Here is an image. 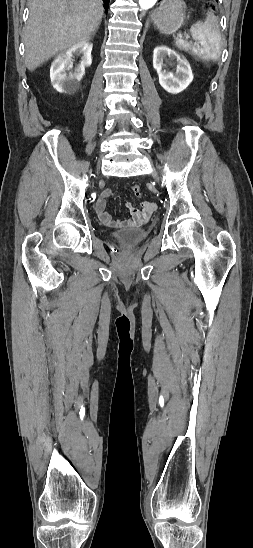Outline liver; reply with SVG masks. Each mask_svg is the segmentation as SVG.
Returning <instances> with one entry per match:
<instances>
[{"instance_id":"1","label":"liver","mask_w":253,"mask_h":548,"mask_svg":"<svg viewBox=\"0 0 253 548\" xmlns=\"http://www.w3.org/2000/svg\"><path fill=\"white\" fill-rule=\"evenodd\" d=\"M24 32L29 71L77 43L90 40L103 17L102 0H30Z\"/></svg>"}]
</instances>
